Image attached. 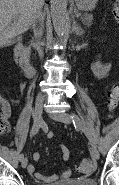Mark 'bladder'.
<instances>
[{
    "label": "bladder",
    "instance_id": "1",
    "mask_svg": "<svg viewBox=\"0 0 119 185\" xmlns=\"http://www.w3.org/2000/svg\"><path fill=\"white\" fill-rule=\"evenodd\" d=\"M47 185H97L94 179H66Z\"/></svg>",
    "mask_w": 119,
    "mask_h": 185
}]
</instances>
